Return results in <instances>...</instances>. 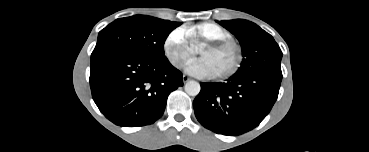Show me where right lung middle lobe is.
Instances as JSON below:
<instances>
[{"mask_svg":"<svg viewBox=\"0 0 369 152\" xmlns=\"http://www.w3.org/2000/svg\"><path fill=\"white\" fill-rule=\"evenodd\" d=\"M180 22L135 15L117 19L99 32L91 60L125 53L148 58H164V42Z\"/></svg>","mask_w":369,"mask_h":152,"instance_id":"1","label":"right lung middle lobe"}]
</instances>
